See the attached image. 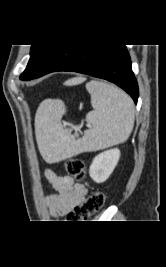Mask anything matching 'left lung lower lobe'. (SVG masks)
<instances>
[{"label": "left lung lower lobe", "instance_id": "0a47b994", "mask_svg": "<svg viewBox=\"0 0 166 267\" xmlns=\"http://www.w3.org/2000/svg\"><path fill=\"white\" fill-rule=\"evenodd\" d=\"M73 71L102 78L124 89L137 104L138 84L125 45H59L33 79L51 72Z\"/></svg>", "mask_w": 166, "mask_h": 267}]
</instances>
